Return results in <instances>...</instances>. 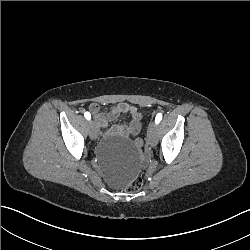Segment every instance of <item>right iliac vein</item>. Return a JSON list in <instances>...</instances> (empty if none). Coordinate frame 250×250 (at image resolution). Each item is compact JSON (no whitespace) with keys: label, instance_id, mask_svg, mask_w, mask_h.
Returning <instances> with one entry per match:
<instances>
[{"label":"right iliac vein","instance_id":"1","mask_svg":"<svg viewBox=\"0 0 250 250\" xmlns=\"http://www.w3.org/2000/svg\"><path fill=\"white\" fill-rule=\"evenodd\" d=\"M88 131H89L90 138L92 140H96V138H97V125L94 121L88 122Z\"/></svg>","mask_w":250,"mask_h":250}]
</instances>
